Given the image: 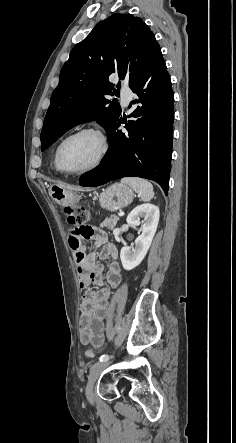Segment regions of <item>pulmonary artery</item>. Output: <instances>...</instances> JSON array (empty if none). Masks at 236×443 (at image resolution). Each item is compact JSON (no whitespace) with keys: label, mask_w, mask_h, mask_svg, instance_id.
Listing matches in <instances>:
<instances>
[{"label":"pulmonary artery","mask_w":236,"mask_h":443,"mask_svg":"<svg viewBox=\"0 0 236 443\" xmlns=\"http://www.w3.org/2000/svg\"><path fill=\"white\" fill-rule=\"evenodd\" d=\"M122 96L124 104L127 105L132 98V92L130 91L123 92Z\"/></svg>","instance_id":"e3ab8cb5"}]
</instances>
